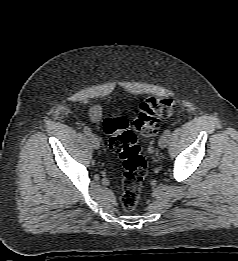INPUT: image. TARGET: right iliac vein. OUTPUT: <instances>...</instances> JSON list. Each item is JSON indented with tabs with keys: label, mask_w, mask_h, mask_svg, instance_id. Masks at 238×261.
I'll use <instances>...</instances> for the list:
<instances>
[{
	"label": "right iliac vein",
	"mask_w": 238,
	"mask_h": 261,
	"mask_svg": "<svg viewBox=\"0 0 238 261\" xmlns=\"http://www.w3.org/2000/svg\"><path fill=\"white\" fill-rule=\"evenodd\" d=\"M89 138H90V141L92 143V146L95 149H99L100 148V140H99V138L95 134L89 135Z\"/></svg>",
	"instance_id": "63e3f726"
}]
</instances>
